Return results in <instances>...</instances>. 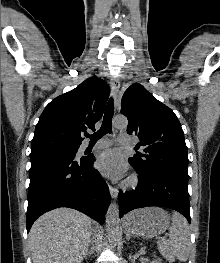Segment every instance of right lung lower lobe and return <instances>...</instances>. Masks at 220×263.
Listing matches in <instances>:
<instances>
[{"mask_svg": "<svg viewBox=\"0 0 220 263\" xmlns=\"http://www.w3.org/2000/svg\"><path fill=\"white\" fill-rule=\"evenodd\" d=\"M30 160L27 232L39 216L58 207L74 208L104 223L111 199L107 184L92 168L93 156L76 160L45 150L31 152Z\"/></svg>", "mask_w": 220, "mask_h": 263, "instance_id": "1", "label": "right lung lower lobe"}]
</instances>
